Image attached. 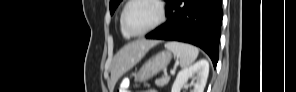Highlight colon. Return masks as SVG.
<instances>
[{"label":"colon","instance_id":"1","mask_svg":"<svg viewBox=\"0 0 296 92\" xmlns=\"http://www.w3.org/2000/svg\"><path fill=\"white\" fill-rule=\"evenodd\" d=\"M129 85H130L129 79H124L120 85V92H129Z\"/></svg>","mask_w":296,"mask_h":92}]
</instances>
